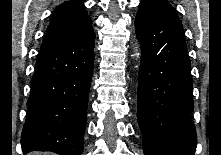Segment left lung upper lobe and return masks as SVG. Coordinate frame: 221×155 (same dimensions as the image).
I'll list each match as a JSON object with an SVG mask.
<instances>
[{
    "label": "left lung upper lobe",
    "instance_id": "left-lung-upper-lobe-1",
    "mask_svg": "<svg viewBox=\"0 0 221 155\" xmlns=\"http://www.w3.org/2000/svg\"><path fill=\"white\" fill-rule=\"evenodd\" d=\"M140 4L179 20L175 9L168 3L167 0H142Z\"/></svg>",
    "mask_w": 221,
    "mask_h": 155
}]
</instances>
